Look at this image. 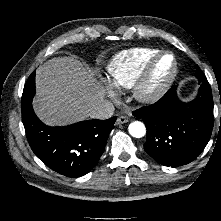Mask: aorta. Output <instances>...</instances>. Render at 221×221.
I'll list each match as a JSON object with an SVG mask.
<instances>
[{
    "mask_svg": "<svg viewBox=\"0 0 221 221\" xmlns=\"http://www.w3.org/2000/svg\"><path fill=\"white\" fill-rule=\"evenodd\" d=\"M128 131L132 137L141 138L146 134V127L140 121H134L129 124Z\"/></svg>",
    "mask_w": 221,
    "mask_h": 221,
    "instance_id": "762f6f07",
    "label": "aorta"
}]
</instances>
